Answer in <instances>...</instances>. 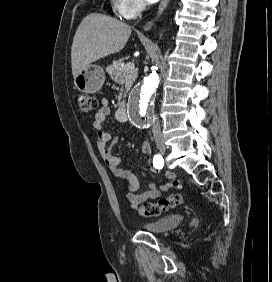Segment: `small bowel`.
<instances>
[{
  "label": "small bowel",
  "mask_w": 272,
  "mask_h": 282,
  "mask_svg": "<svg viewBox=\"0 0 272 282\" xmlns=\"http://www.w3.org/2000/svg\"><path fill=\"white\" fill-rule=\"evenodd\" d=\"M111 110L109 107V101L107 99L102 100V107L95 114L93 121V128L98 131L97 149L101 155L105 165L112 172V174L120 179L126 180V199L132 209H138L144 202L149 199H156L169 189V184L157 186L150 185L148 191L137 194L135 193L138 188V183L134 177L133 171L130 168H125L120 165V158L113 154V147L118 142L117 135H111L103 130L104 123L110 115ZM140 150L146 159L147 165L152 168V151L149 145L145 142L141 144ZM166 177L173 180V175L169 172L166 173Z\"/></svg>",
  "instance_id": "obj_1"
}]
</instances>
